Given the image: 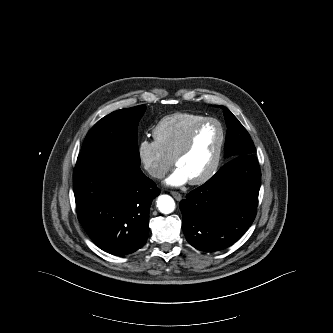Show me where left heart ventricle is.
<instances>
[{"label":"left heart ventricle","instance_id":"obj_1","mask_svg":"<svg viewBox=\"0 0 333 333\" xmlns=\"http://www.w3.org/2000/svg\"><path fill=\"white\" fill-rule=\"evenodd\" d=\"M220 142L219 127L210 123L197 133L190 151L181 157L176 166L181 168L189 181L203 175L212 165Z\"/></svg>","mask_w":333,"mask_h":333}]
</instances>
